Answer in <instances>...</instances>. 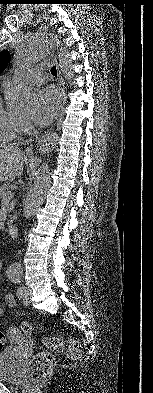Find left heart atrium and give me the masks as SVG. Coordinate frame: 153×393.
I'll list each match as a JSON object with an SVG mask.
<instances>
[{
	"mask_svg": "<svg viewBox=\"0 0 153 393\" xmlns=\"http://www.w3.org/2000/svg\"><path fill=\"white\" fill-rule=\"evenodd\" d=\"M61 103L59 92L53 87L39 90L35 94L32 120L38 126L50 124L56 117Z\"/></svg>",
	"mask_w": 153,
	"mask_h": 393,
	"instance_id": "obj_1",
	"label": "left heart atrium"
}]
</instances>
